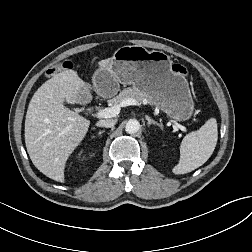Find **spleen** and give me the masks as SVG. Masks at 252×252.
Segmentation results:
<instances>
[{
  "instance_id": "1",
  "label": "spleen",
  "mask_w": 252,
  "mask_h": 252,
  "mask_svg": "<svg viewBox=\"0 0 252 252\" xmlns=\"http://www.w3.org/2000/svg\"><path fill=\"white\" fill-rule=\"evenodd\" d=\"M218 140L217 121L211 118L197 131L187 134L180 145V160L174 174H185L202 166L212 155Z\"/></svg>"
}]
</instances>
